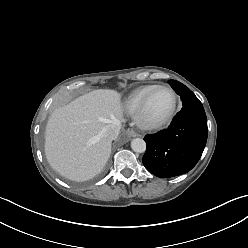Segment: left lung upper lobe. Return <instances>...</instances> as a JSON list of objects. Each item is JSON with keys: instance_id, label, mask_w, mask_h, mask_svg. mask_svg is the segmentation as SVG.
Returning a JSON list of instances; mask_svg holds the SVG:
<instances>
[{"instance_id": "1", "label": "left lung upper lobe", "mask_w": 248, "mask_h": 248, "mask_svg": "<svg viewBox=\"0 0 248 248\" xmlns=\"http://www.w3.org/2000/svg\"><path fill=\"white\" fill-rule=\"evenodd\" d=\"M168 83L180 95L183 106L196 100L197 97L184 84L176 80H169Z\"/></svg>"}]
</instances>
